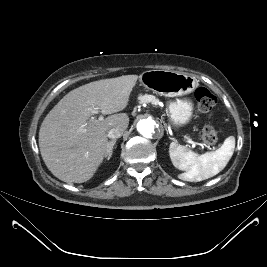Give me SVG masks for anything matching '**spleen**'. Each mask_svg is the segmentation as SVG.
<instances>
[{
	"instance_id": "spleen-1",
	"label": "spleen",
	"mask_w": 267,
	"mask_h": 267,
	"mask_svg": "<svg viewBox=\"0 0 267 267\" xmlns=\"http://www.w3.org/2000/svg\"><path fill=\"white\" fill-rule=\"evenodd\" d=\"M234 149L235 137L229 136L216 151L202 155H197L186 146L172 142L169 155L174 167L184 171L179 175L181 180L199 182L222 171L231 159Z\"/></svg>"
}]
</instances>
